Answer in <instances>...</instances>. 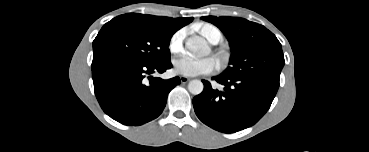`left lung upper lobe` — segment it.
<instances>
[{
  "label": "left lung upper lobe",
  "instance_id": "obj_1",
  "mask_svg": "<svg viewBox=\"0 0 369 152\" xmlns=\"http://www.w3.org/2000/svg\"><path fill=\"white\" fill-rule=\"evenodd\" d=\"M227 37L232 55L227 77H264L279 81L284 66L282 47L264 26L238 17L204 16Z\"/></svg>",
  "mask_w": 369,
  "mask_h": 152
}]
</instances>
